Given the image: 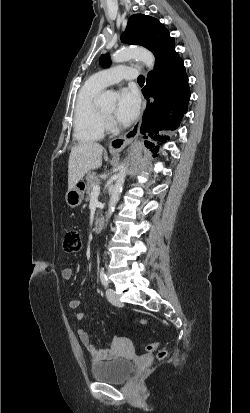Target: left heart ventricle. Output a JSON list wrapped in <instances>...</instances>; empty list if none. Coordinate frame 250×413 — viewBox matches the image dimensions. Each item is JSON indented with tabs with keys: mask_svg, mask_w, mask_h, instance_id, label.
<instances>
[{
	"mask_svg": "<svg viewBox=\"0 0 250 413\" xmlns=\"http://www.w3.org/2000/svg\"><path fill=\"white\" fill-rule=\"evenodd\" d=\"M113 110H114L113 107H109V108H105V109H104V111L107 112V113H109V114L112 113Z\"/></svg>",
	"mask_w": 250,
	"mask_h": 413,
	"instance_id": "b2bd125f",
	"label": "left heart ventricle"
}]
</instances>
